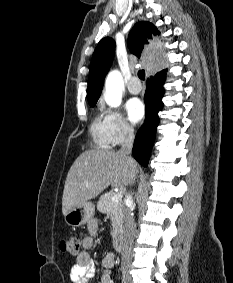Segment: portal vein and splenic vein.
Masks as SVG:
<instances>
[{"instance_id":"18ae733b","label":"portal vein and splenic vein","mask_w":233,"mask_h":283,"mask_svg":"<svg viewBox=\"0 0 233 283\" xmlns=\"http://www.w3.org/2000/svg\"><path fill=\"white\" fill-rule=\"evenodd\" d=\"M123 197V193L122 192H117L116 194H114V196L112 197V201H119L121 200Z\"/></svg>"}]
</instances>
